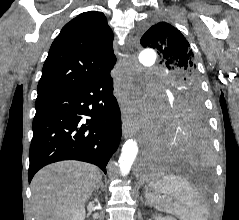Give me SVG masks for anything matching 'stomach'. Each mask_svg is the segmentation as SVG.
I'll use <instances>...</instances> for the list:
<instances>
[{
    "instance_id": "1",
    "label": "stomach",
    "mask_w": 239,
    "mask_h": 220,
    "mask_svg": "<svg viewBox=\"0 0 239 220\" xmlns=\"http://www.w3.org/2000/svg\"><path fill=\"white\" fill-rule=\"evenodd\" d=\"M154 191V193H159L158 191H155V190H153Z\"/></svg>"
}]
</instances>
